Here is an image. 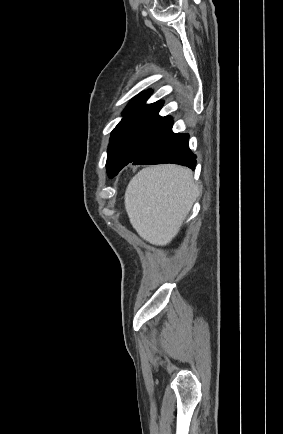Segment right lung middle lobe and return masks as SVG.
I'll return each instance as SVG.
<instances>
[{"mask_svg":"<svg viewBox=\"0 0 283 434\" xmlns=\"http://www.w3.org/2000/svg\"><path fill=\"white\" fill-rule=\"evenodd\" d=\"M173 120L150 116L124 117L114 128L107 157V173L116 176L136 160L153 142L172 128Z\"/></svg>","mask_w":283,"mask_h":434,"instance_id":"obj_1","label":"right lung middle lobe"}]
</instances>
